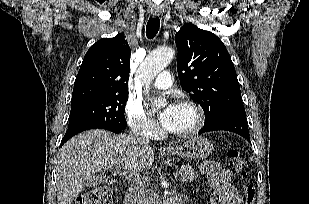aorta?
<instances>
[{
  "label": "aorta",
  "instance_id": "aorta-1",
  "mask_svg": "<svg viewBox=\"0 0 309 204\" xmlns=\"http://www.w3.org/2000/svg\"><path fill=\"white\" fill-rule=\"evenodd\" d=\"M173 56L174 50L172 48L162 47L151 52L140 64L137 73L146 93H148L150 84L156 75L169 65Z\"/></svg>",
  "mask_w": 309,
  "mask_h": 204
}]
</instances>
